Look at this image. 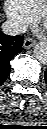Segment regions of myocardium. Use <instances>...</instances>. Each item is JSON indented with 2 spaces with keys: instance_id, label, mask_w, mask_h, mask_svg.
I'll use <instances>...</instances> for the list:
<instances>
[{
  "instance_id": "obj_1",
  "label": "myocardium",
  "mask_w": 47,
  "mask_h": 129,
  "mask_svg": "<svg viewBox=\"0 0 47 129\" xmlns=\"http://www.w3.org/2000/svg\"><path fill=\"white\" fill-rule=\"evenodd\" d=\"M46 8H47V0L43 3L42 8L37 12L35 16V20L37 22H41L44 20Z\"/></svg>"
}]
</instances>
